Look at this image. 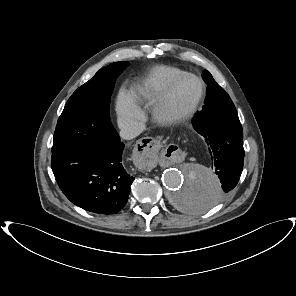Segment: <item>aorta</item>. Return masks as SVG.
<instances>
[{"mask_svg": "<svg viewBox=\"0 0 296 296\" xmlns=\"http://www.w3.org/2000/svg\"><path fill=\"white\" fill-rule=\"evenodd\" d=\"M162 182L170 206L181 213H203L219 202L221 184L207 167L188 163L177 169H167Z\"/></svg>", "mask_w": 296, "mask_h": 296, "instance_id": "1", "label": "aorta"}]
</instances>
